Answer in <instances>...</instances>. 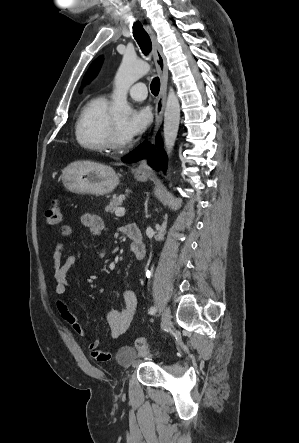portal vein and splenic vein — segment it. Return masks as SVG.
Instances as JSON below:
<instances>
[{
    "instance_id": "portal-vein-and-splenic-vein-1",
    "label": "portal vein and splenic vein",
    "mask_w": 299,
    "mask_h": 443,
    "mask_svg": "<svg viewBox=\"0 0 299 443\" xmlns=\"http://www.w3.org/2000/svg\"><path fill=\"white\" fill-rule=\"evenodd\" d=\"M124 214H125V208H123V207L118 208V209L115 211V215L118 216V217H121V216H123Z\"/></svg>"
}]
</instances>
